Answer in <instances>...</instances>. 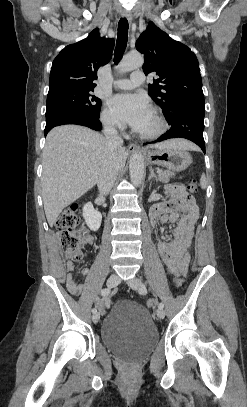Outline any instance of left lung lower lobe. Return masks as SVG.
<instances>
[{"label":"left lung lower lobe","instance_id":"obj_1","mask_svg":"<svg viewBox=\"0 0 247 407\" xmlns=\"http://www.w3.org/2000/svg\"><path fill=\"white\" fill-rule=\"evenodd\" d=\"M205 109L198 107L183 108L175 113L168 121L171 128L160 136L156 141L160 142L170 138H186L196 143L205 153V142L203 138Z\"/></svg>","mask_w":247,"mask_h":407}]
</instances>
